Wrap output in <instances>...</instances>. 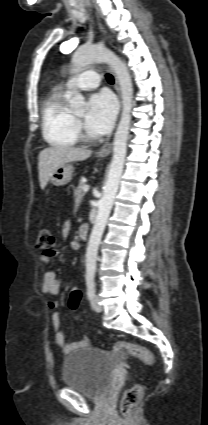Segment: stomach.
<instances>
[{
  "mask_svg": "<svg viewBox=\"0 0 208 425\" xmlns=\"http://www.w3.org/2000/svg\"><path fill=\"white\" fill-rule=\"evenodd\" d=\"M74 167L72 164H62L52 174L50 181L55 186H64L72 180Z\"/></svg>",
  "mask_w": 208,
  "mask_h": 425,
  "instance_id": "1",
  "label": "stomach"
}]
</instances>
